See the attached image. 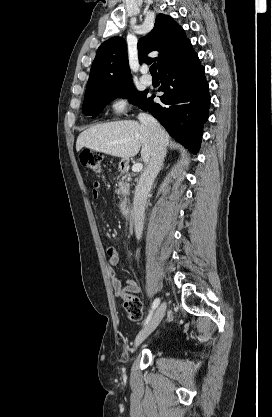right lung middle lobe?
I'll return each instance as SVG.
<instances>
[{
    "label": "right lung middle lobe",
    "mask_w": 272,
    "mask_h": 417,
    "mask_svg": "<svg viewBox=\"0 0 272 417\" xmlns=\"http://www.w3.org/2000/svg\"><path fill=\"white\" fill-rule=\"evenodd\" d=\"M146 95L147 91L138 92L133 84L117 89L101 90L85 94L82 111L86 116L96 117L111 100L117 97H134L131 103L140 107L147 98Z\"/></svg>",
    "instance_id": "1"
}]
</instances>
